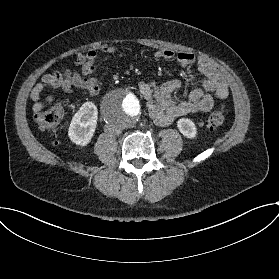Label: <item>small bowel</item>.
I'll list each match as a JSON object with an SVG mask.
<instances>
[{
    "label": "small bowel",
    "instance_id": "obj_1",
    "mask_svg": "<svg viewBox=\"0 0 279 279\" xmlns=\"http://www.w3.org/2000/svg\"><path fill=\"white\" fill-rule=\"evenodd\" d=\"M104 53H112L111 45L102 46ZM97 51L90 49L76 56V64L81 73H47L33 87L30 98L33 102L32 110L35 113L42 111L53 97L42 93L49 88H60L66 93L85 91L92 96L98 95L100 82L94 77ZM157 60H177L183 67L196 65L201 72L200 85L192 89L187 100L175 97L182 83L178 79L167 82L142 80L138 84L139 92L145 99V106L149 117L160 126L171 124L177 118L192 112H208L213 107L214 99H224L229 94L228 83L225 78L203 57L191 52H178L162 48L154 53Z\"/></svg>",
    "mask_w": 279,
    "mask_h": 279
}]
</instances>
